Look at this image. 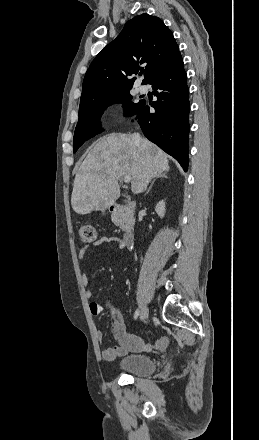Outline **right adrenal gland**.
<instances>
[{"mask_svg":"<svg viewBox=\"0 0 259 440\" xmlns=\"http://www.w3.org/2000/svg\"><path fill=\"white\" fill-rule=\"evenodd\" d=\"M158 178H168V176H167V172H163V173L157 175V176L153 179L152 183L150 184L149 188H148L147 191H146V194L149 193V191H150V189L152 188L154 182H155L156 179H158Z\"/></svg>","mask_w":259,"mask_h":440,"instance_id":"2a0ac1e0","label":"right adrenal gland"}]
</instances>
